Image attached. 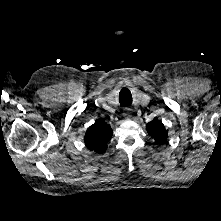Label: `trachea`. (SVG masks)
Segmentation results:
<instances>
[{
    "label": "trachea",
    "instance_id": "trachea-1",
    "mask_svg": "<svg viewBox=\"0 0 221 221\" xmlns=\"http://www.w3.org/2000/svg\"><path fill=\"white\" fill-rule=\"evenodd\" d=\"M119 102H120L121 106H130L132 103V100H121L120 99Z\"/></svg>",
    "mask_w": 221,
    "mask_h": 221
}]
</instances>
